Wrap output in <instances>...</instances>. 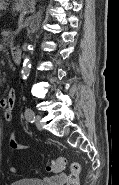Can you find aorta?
<instances>
[{"label":"aorta","instance_id":"obj_1","mask_svg":"<svg viewBox=\"0 0 119 185\" xmlns=\"http://www.w3.org/2000/svg\"><path fill=\"white\" fill-rule=\"evenodd\" d=\"M30 68H31L30 57L26 55L24 58L23 68L21 71L23 79H26L28 77Z\"/></svg>","mask_w":119,"mask_h":185}]
</instances>
